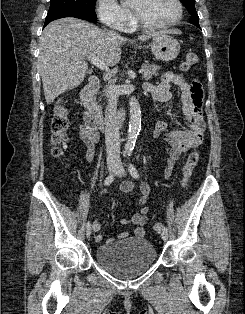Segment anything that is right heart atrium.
<instances>
[{"mask_svg": "<svg viewBox=\"0 0 245 314\" xmlns=\"http://www.w3.org/2000/svg\"><path fill=\"white\" fill-rule=\"evenodd\" d=\"M97 13L100 20L113 29H128L131 12L128 8L119 5L115 0H98Z\"/></svg>", "mask_w": 245, "mask_h": 314, "instance_id": "right-heart-atrium-1", "label": "right heart atrium"}]
</instances>
